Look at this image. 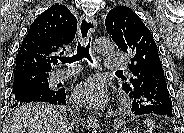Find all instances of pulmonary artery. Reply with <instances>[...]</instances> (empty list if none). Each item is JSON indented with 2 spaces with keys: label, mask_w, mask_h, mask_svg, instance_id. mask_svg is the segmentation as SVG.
<instances>
[{
  "label": "pulmonary artery",
  "mask_w": 184,
  "mask_h": 133,
  "mask_svg": "<svg viewBox=\"0 0 184 133\" xmlns=\"http://www.w3.org/2000/svg\"><path fill=\"white\" fill-rule=\"evenodd\" d=\"M128 67L127 57L123 54L109 55L106 58L105 69L107 70H124ZM78 68L72 67L64 70H58L52 74L54 81H61L77 73Z\"/></svg>",
  "instance_id": "obj_1"
}]
</instances>
